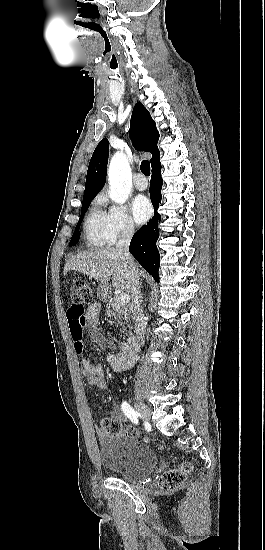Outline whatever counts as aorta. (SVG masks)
<instances>
[{"mask_svg": "<svg viewBox=\"0 0 265 550\" xmlns=\"http://www.w3.org/2000/svg\"><path fill=\"white\" fill-rule=\"evenodd\" d=\"M108 179L111 200L118 204L125 203L131 191L132 175L128 160L122 152L113 155Z\"/></svg>", "mask_w": 265, "mask_h": 550, "instance_id": "762f6f07", "label": "aorta"}]
</instances>
